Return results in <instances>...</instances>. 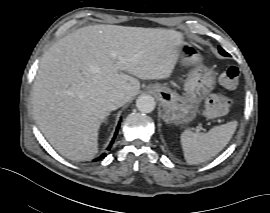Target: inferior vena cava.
<instances>
[{
    "mask_svg": "<svg viewBox=\"0 0 270 213\" xmlns=\"http://www.w3.org/2000/svg\"><path fill=\"white\" fill-rule=\"evenodd\" d=\"M109 100L114 103V104H117L119 106L123 105L126 103V95L123 91L121 90H113L111 93H110V96H109Z\"/></svg>",
    "mask_w": 270,
    "mask_h": 213,
    "instance_id": "1",
    "label": "inferior vena cava"
}]
</instances>
